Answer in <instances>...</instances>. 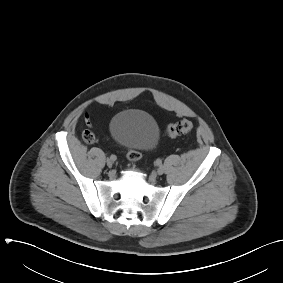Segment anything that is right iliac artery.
<instances>
[{
	"instance_id": "1",
	"label": "right iliac artery",
	"mask_w": 283,
	"mask_h": 283,
	"mask_svg": "<svg viewBox=\"0 0 283 283\" xmlns=\"http://www.w3.org/2000/svg\"><path fill=\"white\" fill-rule=\"evenodd\" d=\"M110 159H111L112 161H115L117 158H116L115 155H111V156H110Z\"/></svg>"
}]
</instances>
